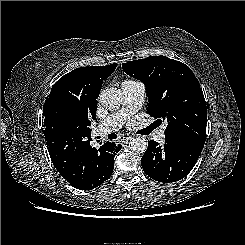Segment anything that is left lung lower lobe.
Returning <instances> with one entry per match:
<instances>
[{
    "instance_id": "1",
    "label": "left lung lower lobe",
    "mask_w": 245,
    "mask_h": 245,
    "mask_svg": "<svg viewBox=\"0 0 245 245\" xmlns=\"http://www.w3.org/2000/svg\"><path fill=\"white\" fill-rule=\"evenodd\" d=\"M204 143L196 141L170 142L165 140L162 148L155 141L148 142V148L141 159L144 172L152 179L171 183L183 179L195 166Z\"/></svg>"
}]
</instances>
